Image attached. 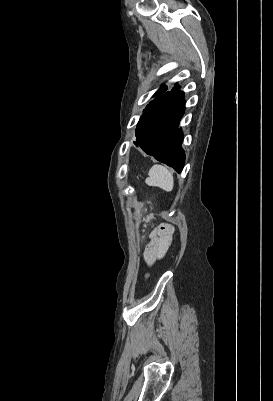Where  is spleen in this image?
<instances>
[{"instance_id": "3e777b00", "label": "spleen", "mask_w": 273, "mask_h": 401, "mask_svg": "<svg viewBox=\"0 0 273 401\" xmlns=\"http://www.w3.org/2000/svg\"><path fill=\"white\" fill-rule=\"evenodd\" d=\"M149 176L146 178V184L149 186H160L163 190H172L174 180L171 172L166 166L162 164H154L148 172Z\"/></svg>"}]
</instances>
